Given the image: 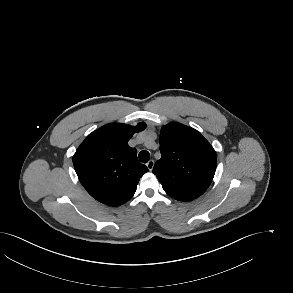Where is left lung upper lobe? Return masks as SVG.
I'll use <instances>...</instances> for the list:
<instances>
[{"label": "left lung upper lobe", "instance_id": "1", "mask_svg": "<svg viewBox=\"0 0 293 293\" xmlns=\"http://www.w3.org/2000/svg\"><path fill=\"white\" fill-rule=\"evenodd\" d=\"M160 152L153 173L169 196L187 202L208 189L216 170V152L197 130L179 123L163 126Z\"/></svg>", "mask_w": 293, "mask_h": 293}]
</instances>
